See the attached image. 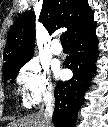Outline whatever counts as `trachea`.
Instances as JSON below:
<instances>
[{
    "mask_svg": "<svg viewBox=\"0 0 108 127\" xmlns=\"http://www.w3.org/2000/svg\"><path fill=\"white\" fill-rule=\"evenodd\" d=\"M60 41L62 45H68V40H67V36L65 33L61 34Z\"/></svg>",
    "mask_w": 108,
    "mask_h": 127,
    "instance_id": "obj_1",
    "label": "trachea"
}]
</instances>
